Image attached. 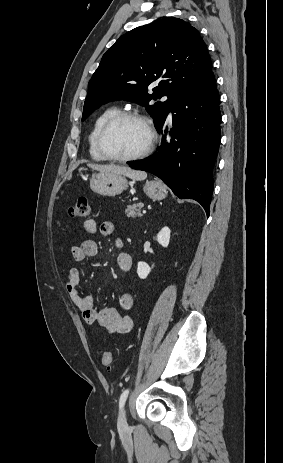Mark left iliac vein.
Returning a JSON list of instances; mask_svg holds the SVG:
<instances>
[{"mask_svg": "<svg viewBox=\"0 0 283 463\" xmlns=\"http://www.w3.org/2000/svg\"><path fill=\"white\" fill-rule=\"evenodd\" d=\"M128 426L127 424V419H126V410L125 408H122V410L119 413V418H118V427L120 430L126 429Z\"/></svg>", "mask_w": 283, "mask_h": 463, "instance_id": "4c4485c4", "label": "left iliac vein"}]
</instances>
